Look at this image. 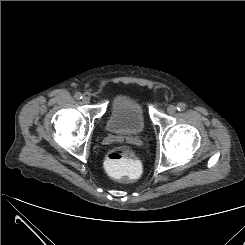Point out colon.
Here are the masks:
<instances>
[{
    "instance_id": "1",
    "label": "colon",
    "mask_w": 245,
    "mask_h": 245,
    "mask_svg": "<svg viewBox=\"0 0 245 245\" xmlns=\"http://www.w3.org/2000/svg\"><path fill=\"white\" fill-rule=\"evenodd\" d=\"M105 166L112 174H127L131 178H135L139 170L134 151L126 146L110 149L105 158Z\"/></svg>"
}]
</instances>
